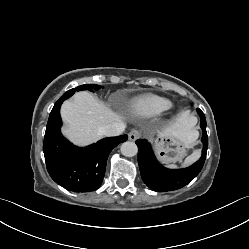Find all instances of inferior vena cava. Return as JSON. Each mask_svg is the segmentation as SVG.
<instances>
[{"label":"inferior vena cava","instance_id":"602c4592","mask_svg":"<svg viewBox=\"0 0 249 249\" xmlns=\"http://www.w3.org/2000/svg\"><path fill=\"white\" fill-rule=\"evenodd\" d=\"M125 124L122 122H115L100 128V134L107 137L119 136L125 130Z\"/></svg>","mask_w":249,"mask_h":249}]
</instances>
